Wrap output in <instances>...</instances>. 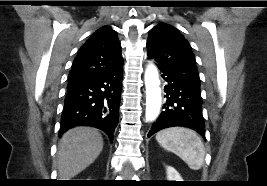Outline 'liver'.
<instances>
[{
  "label": "liver",
  "mask_w": 267,
  "mask_h": 186,
  "mask_svg": "<svg viewBox=\"0 0 267 186\" xmlns=\"http://www.w3.org/2000/svg\"><path fill=\"white\" fill-rule=\"evenodd\" d=\"M103 149V138L91 127H75L58 144L57 169L61 180L73 178L92 164Z\"/></svg>",
  "instance_id": "liver-1"
}]
</instances>
